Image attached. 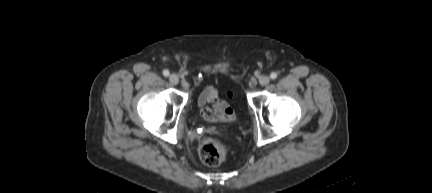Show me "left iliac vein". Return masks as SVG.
I'll use <instances>...</instances> for the list:
<instances>
[{
	"label": "left iliac vein",
	"mask_w": 432,
	"mask_h": 193,
	"mask_svg": "<svg viewBox=\"0 0 432 193\" xmlns=\"http://www.w3.org/2000/svg\"><path fill=\"white\" fill-rule=\"evenodd\" d=\"M259 82H260V84H261L262 86H265V85L269 84V82H270V78H269L268 76H262V77L259 79Z\"/></svg>",
	"instance_id": "obj_1"
}]
</instances>
